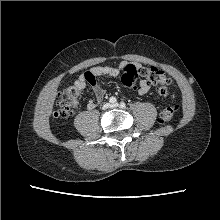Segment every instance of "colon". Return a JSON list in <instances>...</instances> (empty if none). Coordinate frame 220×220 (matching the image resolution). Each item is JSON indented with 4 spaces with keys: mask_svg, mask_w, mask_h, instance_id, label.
I'll list each match as a JSON object with an SVG mask.
<instances>
[{
    "mask_svg": "<svg viewBox=\"0 0 220 220\" xmlns=\"http://www.w3.org/2000/svg\"><path fill=\"white\" fill-rule=\"evenodd\" d=\"M139 78H143L150 84L156 86L157 93L160 96H167L170 92L172 84L171 79L160 69L154 66L137 67L134 64H127L123 68L121 80L127 87H134ZM80 96V88L77 86L67 87L62 90L58 97V110L56 115L58 117H67L70 115L73 106ZM176 109L174 107H166L160 114L162 122L170 121L175 115Z\"/></svg>",
    "mask_w": 220,
    "mask_h": 220,
    "instance_id": "5ec220e1",
    "label": "colon"
}]
</instances>
